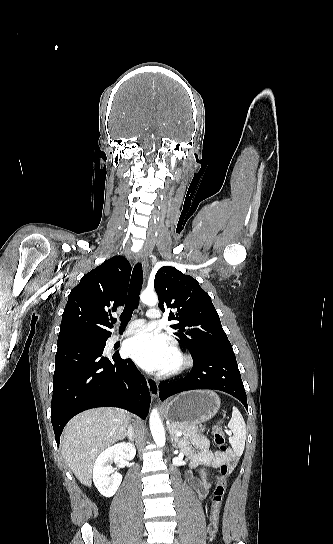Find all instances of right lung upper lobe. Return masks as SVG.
Returning <instances> with one entry per match:
<instances>
[{
    "label": "right lung upper lobe",
    "mask_w": 333,
    "mask_h": 544,
    "mask_svg": "<svg viewBox=\"0 0 333 544\" xmlns=\"http://www.w3.org/2000/svg\"><path fill=\"white\" fill-rule=\"evenodd\" d=\"M130 274V263L114 256L84 275L68 296L57 346L109 338L108 316L125 303Z\"/></svg>",
    "instance_id": "right-lung-upper-lobe-1"
}]
</instances>
